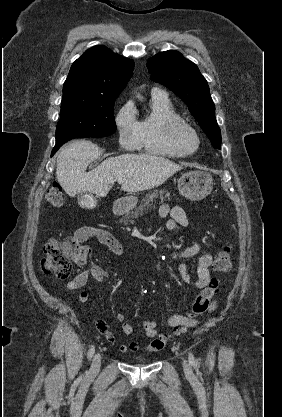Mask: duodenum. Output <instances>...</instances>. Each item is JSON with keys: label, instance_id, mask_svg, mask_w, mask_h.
<instances>
[{"label": "duodenum", "instance_id": "410a0bca", "mask_svg": "<svg viewBox=\"0 0 282 417\" xmlns=\"http://www.w3.org/2000/svg\"><path fill=\"white\" fill-rule=\"evenodd\" d=\"M125 210L124 204L120 201H117L114 205H113V213L115 215H119L121 213H123Z\"/></svg>", "mask_w": 282, "mask_h": 417}]
</instances>
